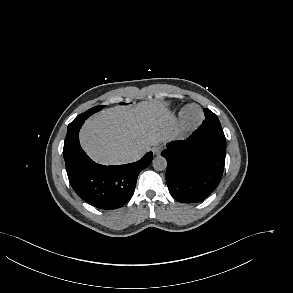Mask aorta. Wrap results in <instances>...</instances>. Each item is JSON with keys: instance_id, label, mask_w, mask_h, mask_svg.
Masks as SVG:
<instances>
[{"instance_id": "1", "label": "aorta", "mask_w": 293, "mask_h": 293, "mask_svg": "<svg viewBox=\"0 0 293 293\" xmlns=\"http://www.w3.org/2000/svg\"><path fill=\"white\" fill-rule=\"evenodd\" d=\"M153 168L157 171H163L167 167V161L164 157L162 156H157L153 160Z\"/></svg>"}]
</instances>
